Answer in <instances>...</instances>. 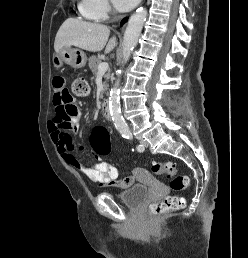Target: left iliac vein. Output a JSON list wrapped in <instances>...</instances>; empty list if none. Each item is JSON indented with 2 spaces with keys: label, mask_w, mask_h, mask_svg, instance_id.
Returning <instances> with one entry per match:
<instances>
[{
  "label": "left iliac vein",
  "mask_w": 248,
  "mask_h": 258,
  "mask_svg": "<svg viewBox=\"0 0 248 258\" xmlns=\"http://www.w3.org/2000/svg\"><path fill=\"white\" fill-rule=\"evenodd\" d=\"M141 145H142L144 148H146V147H148V142H147L146 140H144V139H141Z\"/></svg>",
  "instance_id": "1"
}]
</instances>
